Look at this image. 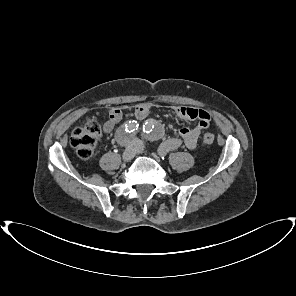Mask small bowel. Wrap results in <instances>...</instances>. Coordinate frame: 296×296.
Masks as SVG:
<instances>
[{"instance_id": "1", "label": "small bowel", "mask_w": 296, "mask_h": 296, "mask_svg": "<svg viewBox=\"0 0 296 296\" xmlns=\"http://www.w3.org/2000/svg\"><path fill=\"white\" fill-rule=\"evenodd\" d=\"M150 103H139L134 107V115L137 119H144L150 112ZM173 112L177 117L184 120H198L193 128L182 127L178 130V137L166 139L160 145L159 151L166 154L176 150L182 145L189 149L197 146L198 139L206 128L209 127L211 117L205 110L185 106H173ZM123 113L119 108L112 107L108 111V120L104 124V130L110 132L122 119Z\"/></svg>"}]
</instances>
